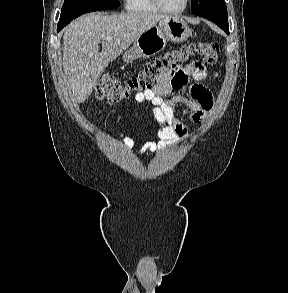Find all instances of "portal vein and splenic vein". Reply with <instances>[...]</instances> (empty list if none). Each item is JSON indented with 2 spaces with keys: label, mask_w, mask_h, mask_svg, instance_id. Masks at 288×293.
I'll return each mask as SVG.
<instances>
[{
  "label": "portal vein and splenic vein",
  "mask_w": 288,
  "mask_h": 293,
  "mask_svg": "<svg viewBox=\"0 0 288 293\" xmlns=\"http://www.w3.org/2000/svg\"><path fill=\"white\" fill-rule=\"evenodd\" d=\"M111 38H106V40H110Z\"/></svg>",
  "instance_id": "18ae733b"
}]
</instances>
